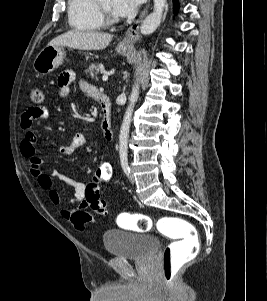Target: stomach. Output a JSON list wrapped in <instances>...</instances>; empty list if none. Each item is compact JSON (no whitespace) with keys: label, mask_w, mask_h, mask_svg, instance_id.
<instances>
[{"label":"stomach","mask_w":267,"mask_h":301,"mask_svg":"<svg viewBox=\"0 0 267 301\" xmlns=\"http://www.w3.org/2000/svg\"><path fill=\"white\" fill-rule=\"evenodd\" d=\"M129 48V46L118 45L116 51L121 55H125ZM64 57L65 51L62 46H46L35 58L34 70L40 75H47L59 67Z\"/></svg>","instance_id":"stomach-1"}]
</instances>
